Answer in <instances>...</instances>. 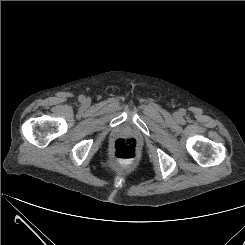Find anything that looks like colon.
I'll return each instance as SVG.
<instances>
[{
  "instance_id": "5ec220e1",
  "label": "colon",
  "mask_w": 245,
  "mask_h": 245,
  "mask_svg": "<svg viewBox=\"0 0 245 245\" xmlns=\"http://www.w3.org/2000/svg\"><path fill=\"white\" fill-rule=\"evenodd\" d=\"M139 147L135 138H120L112 145L113 156L122 162H129L137 158Z\"/></svg>"
}]
</instances>
